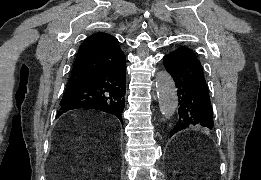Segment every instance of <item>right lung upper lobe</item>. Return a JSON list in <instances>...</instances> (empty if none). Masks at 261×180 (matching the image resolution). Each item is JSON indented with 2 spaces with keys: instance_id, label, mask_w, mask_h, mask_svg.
<instances>
[{
  "instance_id": "right-lung-upper-lobe-1",
  "label": "right lung upper lobe",
  "mask_w": 261,
  "mask_h": 180,
  "mask_svg": "<svg viewBox=\"0 0 261 180\" xmlns=\"http://www.w3.org/2000/svg\"><path fill=\"white\" fill-rule=\"evenodd\" d=\"M125 59L115 37L102 32L95 33L79 47L68 84L79 81L95 69L121 64Z\"/></svg>"
}]
</instances>
